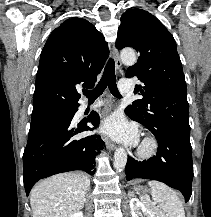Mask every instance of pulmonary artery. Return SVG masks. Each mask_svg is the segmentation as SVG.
I'll use <instances>...</instances> for the list:
<instances>
[{"mask_svg": "<svg viewBox=\"0 0 211 217\" xmlns=\"http://www.w3.org/2000/svg\"><path fill=\"white\" fill-rule=\"evenodd\" d=\"M118 87H119V91L122 94H128L131 89H132V84L131 81L129 79L123 78L120 79L119 83H118ZM102 104L100 102H96L92 105H83L82 106V110H86V109H97L101 106Z\"/></svg>", "mask_w": 211, "mask_h": 217, "instance_id": "1", "label": "pulmonary artery"}]
</instances>
